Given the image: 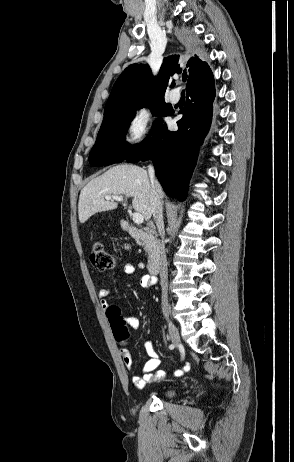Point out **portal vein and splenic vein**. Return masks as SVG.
<instances>
[{"instance_id": "18ae733b", "label": "portal vein and splenic vein", "mask_w": 294, "mask_h": 462, "mask_svg": "<svg viewBox=\"0 0 294 462\" xmlns=\"http://www.w3.org/2000/svg\"><path fill=\"white\" fill-rule=\"evenodd\" d=\"M105 198L107 200H115V201H123V196H117V195H106ZM133 222L136 224H142L144 222L143 215L140 213H134L133 214Z\"/></svg>"}]
</instances>
